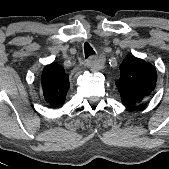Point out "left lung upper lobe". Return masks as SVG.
I'll list each match as a JSON object with an SVG mask.
<instances>
[{
	"instance_id": "left-lung-upper-lobe-1",
	"label": "left lung upper lobe",
	"mask_w": 169,
	"mask_h": 169,
	"mask_svg": "<svg viewBox=\"0 0 169 169\" xmlns=\"http://www.w3.org/2000/svg\"><path fill=\"white\" fill-rule=\"evenodd\" d=\"M121 77L116 86L126 106H133L149 95L157 78L154 67L138 58L129 56L120 66Z\"/></svg>"
}]
</instances>
